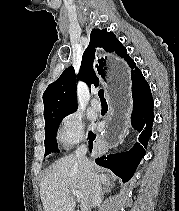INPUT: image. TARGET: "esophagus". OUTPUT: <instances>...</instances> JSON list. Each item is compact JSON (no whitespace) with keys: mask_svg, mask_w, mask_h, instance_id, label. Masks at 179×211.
<instances>
[{"mask_svg":"<svg viewBox=\"0 0 179 211\" xmlns=\"http://www.w3.org/2000/svg\"><path fill=\"white\" fill-rule=\"evenodd\" d=\"M95 69L98 79L105 82L110 106L107 109L109 119H106V128L101 133L99 144H96V151L102 152L103 149H112V145H119V141H123V133L128 129L129 109L132 108L128 93L131 82L127 74L128 65L122 64L120 56H102L95 64Z\"/></svg>","mask_w":179,"mask_h":211,"instance_id":"1","label":"esophagus"}]
</instances>
